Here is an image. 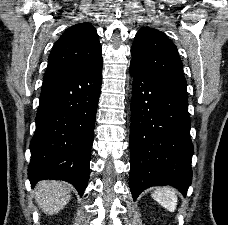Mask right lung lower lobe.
Here are the masks:
<instances>
[{"label": "right lung lower lobe", "mask_w": 228, "mask_h": 225, "mask_svg": "<svg viewBox=\"0 0 228 225\" xmlns=\"http://www.w3.org/2000/svg\"><path fill=\"white\" fill-rule=\"evenodd\" d=\"M102 58L78 71L44 79L30 142L28 178L65 180L83 195L101 90Z\"/></svg>", "instance_id": "98d812e1"}]
</instances>
